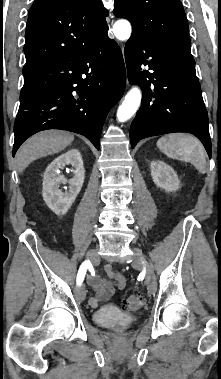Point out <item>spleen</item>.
I'll use <instances>...</instances> for the list:
<instances>
[{
    "mask_svg": "<svg viewBox=\"0 0 221 379\" xmlns=\"http://www.w3.org/2000/svg\"><path fill=\"white\" fill-rule=\"evenodd\" d=\"M157 147L169 158L191 163L201 174L206 171V152L201 142L187 134H168L157 141Z\"/></svg>",
    "mask_w": 221,
    "mask_h": 379,
    "instance_id": "3e777b00",
    "label": "spleen"
}]
</instances>
